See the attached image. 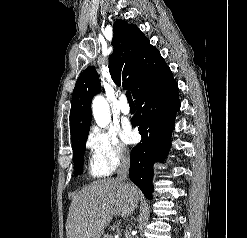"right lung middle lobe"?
Wrapping results in <instances>:
<instances>
[{
    "instance_id": "dd1d6c3e",
    "label": "right lung middle lobe",
    "mask_w": 247,
    "mask_h": 238,
    "mask_svg": "<svg viewBox=\"0 0 247 238\" xmlns=\"http://www.w3.org/2000/svg\"><path fill=\"white\" fill-rule=\"evenodd\" d=\"M88 135L78 140L72 145L73 157H74V168L76 175L81 174L83 170V156L85 153V145Z\"/></svg>"
}]
</instances>
